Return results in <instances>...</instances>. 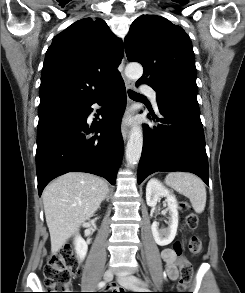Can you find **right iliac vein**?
Here are the masks:
<instances>
[{"instance_id":"right-iliac-vein-1","label":"right iliac vein","mask_w":245,"mask_h":293,"mask_svg":"<svg viewBox=\"0 0 245 293\" xmlns=\"http://www.w3.org/2000/svg\"><path fill=\"white\" fill-rule=\"evenodd\" d=\"M113 279V272L111 270H108L104 273V280L109 282Z\"/></svg>"}]
</instances>
